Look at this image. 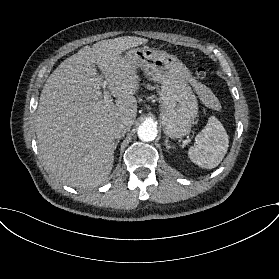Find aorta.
<instances>
[{"instance_id":"1","label":"aorta","mask_w":279,"mask_h":279,"mask_svg":"<svg viewBox=\"0 0 279 279\" xmlns=\"http://www.w3.org/2000/svg\"><path fill=\"white\" fill-rule=\"evenodd\" d=\"M137 134L140 140L145 142L153 141L158 134L156 125L150 122H143L137 130Z\"/></svg>"}]
</instances>
